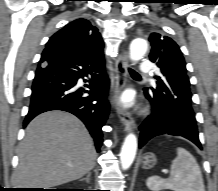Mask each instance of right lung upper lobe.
<instances>
[{
	"label": "right lung upper lobe",
	"mask_w": 218,
	"mask_h": 191,
	"mask_svg": "<svg viewBox=\"0 0 218 191\" xmlns=\"http://www.w3.org/2000/svg\"><path fill=\"white\" fill-rule=\"evenodd\" d=\"M104 43L98 29L86 19H76L55 33L46 48H57L79 56L103 54Z\"/></svg>",
	"instance_id": "cb5924a9"
}]
</instances>
